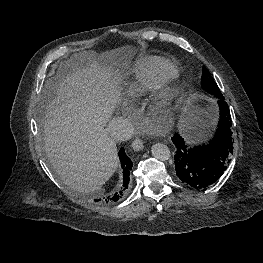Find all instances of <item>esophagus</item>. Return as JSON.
Here are the masks:
<instances>
[{"label": "esophagus", "instance_id": "34e87169", "mask_svg": "<svg viewBox=\"0 0 263 263\" xmlns=\"http://www.w3.org/2000/svg\"><path fill=\"white\" fill-rule=\"evenodd\" d=\"M132 148L134 151H140L143 149V141L137 137L134 139L133 143H132Z\"/></svg>", "mask_w": 263, "mask_h": 263}]
</instances>
